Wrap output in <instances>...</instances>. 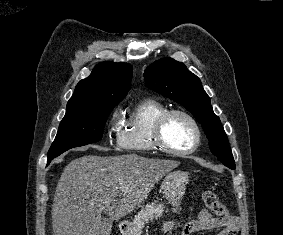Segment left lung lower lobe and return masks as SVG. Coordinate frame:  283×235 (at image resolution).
Here are the masks:
<instances>
[{"mask_svg": "<svg viewBox=\"0 0 283 235\" xmlns=\"http://www.w3.org/2000/svg\"><path fill=\"white\" fill-rule=\"evenodd\" d=\"M218 160H220L228 168L235 169L234 158L228 159V158L218 157Z\"/></svg>", "mask_w": 283, "mask_h": 235, "instance_id": "1", "label": "left lung lower lobe"}]
</instances>
